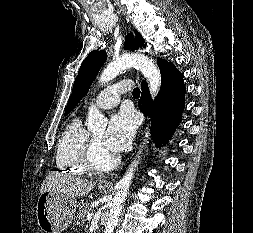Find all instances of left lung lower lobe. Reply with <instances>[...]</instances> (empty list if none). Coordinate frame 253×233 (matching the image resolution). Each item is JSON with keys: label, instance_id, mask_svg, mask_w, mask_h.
<instances>
[{"label": "left lung lower lobe", "instance_id": "1", "mask_svg": "<svg viewBox=\"0 0 253 233\" xmlns=\"http://www.w3.org/2000/svg\"><path fill=\"white\" fill-rule=\"evenodd\" d=\"M158 65L161 72L160 92L152 105L148 85L143 80L138 105L144 115L152 114L153 139L160 146L168 140L181 121L186 89L183 75L174 65L161 58L158 59Z\"/></svg>", "mask_w": 253, "mask_h": 233}]
</instances>
